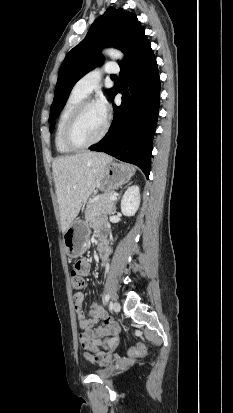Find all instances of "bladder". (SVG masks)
<instances>
[{
    "mask_svg": "<svg viewBox=\"0 0 233 413\" xmlns=\"http://www.w3.org/2000/svg\"><path fill=\"white\" fill-rule=\"evenodd\" d=\"M115 372V366L112 363H107L103 367L97 369L94 374L101 378H108Z\"/></svg>",
    "mask_w": 233,
    "mask_h": 413,
    "instance_id": "1",
    "label": "bladder"
}]
</instances>
